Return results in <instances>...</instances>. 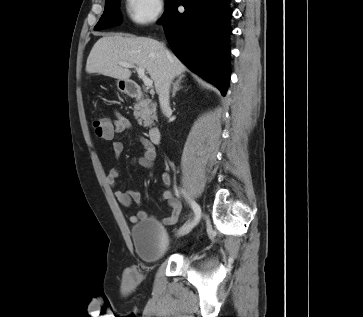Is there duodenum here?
I'll use <instances>...</instances> for the list:
<instances>
[{"instance_id":"obj_1","label":"duodenum","mask_w":363,"mask_h":317,"mask_svg":"<svg viewBox=\"0 0 363 317\" xmlns=\"http://www.w3.org/2000/svg\"><path fill=\"white\" fill-rule=\"evenodd\" d=\"M126 89H127L128 95L130 97H133V98H142V97H144V91L136 83L128 82L127 86H126ZM149 138H150L152 143L159 144L161 142V130L156 126L150 127L149 128Z\"/></svg>"}]
</instances>
